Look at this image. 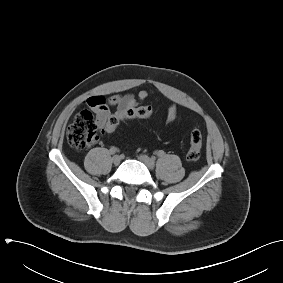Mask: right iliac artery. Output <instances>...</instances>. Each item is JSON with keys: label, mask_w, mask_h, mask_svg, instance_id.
<instances>
[{"label": "right iliac artery", "mask_w": 283, "mask_h": 283, "mask_svg": "<svg viewBox=\"0 0 283 283\" xmlns=\"http://www.w3.org/2000/svg\"><path fill=\"white\" fill-rule=\"evenodd\" d=\"M109 151H110V154H115L117 152V148L111 147Z\"/></svg>", "instance_id": "1"}]
</instances>
